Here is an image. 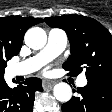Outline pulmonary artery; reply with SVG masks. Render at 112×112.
Returning <instances> with one entry per match:
<instances>
[{
    "label": "pulmonary artery",
    "instance_id": "obj_1",
    "mask_svg": "<svg viewBox=\"0 0 112 112\" xmlns=\"http://www.w3.org/2000/svg\"><path fill=\"white\" fill-rule=\"evenodd\" d=\"M67 44V36L63 30L51 29L48 32L46 46L35 56L11 66L13 76L30 74L63 52ZM87 79L82 76L77 80L78 86H85Z\"/></svg>",
    "mask_w": 112,
    "mask_h": 112
}]
</instances>
